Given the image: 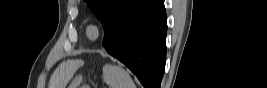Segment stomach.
I'll return each mask as SVG.
<instances>
[{
	"instance_id": "1",
	"label": "stomach",
	"mask_w": 267,
	"mask_h": 88,
	"mask_svg": "<svg viewBox=\"0 0 267 88\" xmlns=\"http://www.w3.org/2000/svg\"><path fill=\"white\" fill-rule=\"evenodd\" d=\"M81 82V77H77L71 84L70 88H76V86Z\"/></svg>"
}]
</instances>
